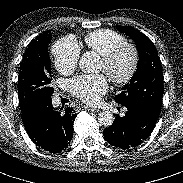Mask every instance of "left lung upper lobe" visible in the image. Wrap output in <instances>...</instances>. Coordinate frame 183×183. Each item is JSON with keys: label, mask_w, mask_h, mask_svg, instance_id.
<instances>
[{"label": "left lung upper lobe", "mask_w": 183, "mask_h": 183, "mask_svg": "<svg viewBox=\"0 0 183 183\" xmlns=\"http://www.w3.org/2000/svg\"><path fill=\"white\" fill-rule=\"evenodd\" d=\"M135 42L139 61L137 71L130 82L115 96V101L125 106L137 105L159 116L164 92L163 71L158 52L153 42L142 32L130 26H117Z\"/></svg>", "instance_id": "left-lung-upper-lobe-1"}]
</instances>
